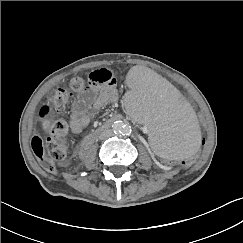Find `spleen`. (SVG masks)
Instances as JSON below:
<instances>
[{
    "instance_id": "1",
    "label": "spleen",
    "mask_w": 243,
    "mask_h": 243,
    "mask_svg": "<svg viewBox=\"0 0 243 243\" xmlns=\"http://www.w3.org/2000/svg\"><path fill=\"white\" fill-rule=\"evenodd\" d=\"M123 103L128 116L143 123L159 156L183 159L196 149L199 130L191 103L166 76L153 70L135 73Z\"/></svg>"
}]
</instances>
